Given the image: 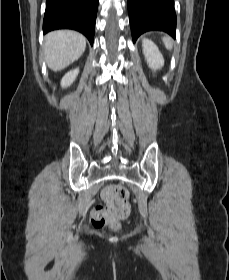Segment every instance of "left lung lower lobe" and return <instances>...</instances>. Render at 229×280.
<instances>
[{
    "label": "left lung lower lobe",
    "instance_id": "obj_1",
    "mask_svg": "<svg viewBox=\"0 0 229 280\" xmlns=\"http://www.w3.org/2000/svg\"><path fill=\"white\" fill-rule=\"evenodd\" d=\"M133 42L144 32L164 31L175 38L174 0H127Z\"/></svg>",
    "mask_w": 229,
    "mask_h": 280
}]
</instances>
